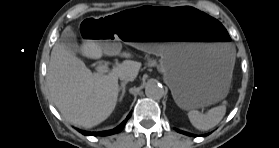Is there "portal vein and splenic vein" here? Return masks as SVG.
Listing matches in <instances>:
<instances>
[{
	"mask_svg": "<svg viewBox=\"0 0 279 148\" xmlns=\"http://www.w3.org/2000/svg\"><path fill=\"white\" fill-rule=\"evenodd\" d=\"M96 69H97V71H98L99 74H104V73H107V72L109 71V67H108V65H107L106 63H105V64H100V65H98V66L96 67ZM201 111L204 112L205 109L202 108Z\"/></svg>",
	"mask_w": 279,
	"mask_h": 148,
	"instance_id": "18ae733b",
	"label": "portal vein and splenic vein"
}]
</instances>
